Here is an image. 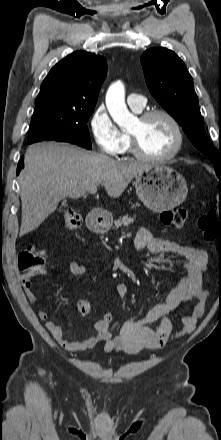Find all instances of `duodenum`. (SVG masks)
Instances as JSON below:
<instances>
[{"mask_svg":"<svg viewBox=\"0 0 221 440\" xmlns=\"http://www.w3.org/2000/svg\"><path fill=\"white\" fill-rule=\"evenodd\" d=\"M107 222V215L99 210H94L90 212L87 216V225L90 229H99L105 226Z\"/></svg>","mask_w":221,"mask_h":440,"instance_id":"410a0bca","label":"duodenum"}]
</instances>
